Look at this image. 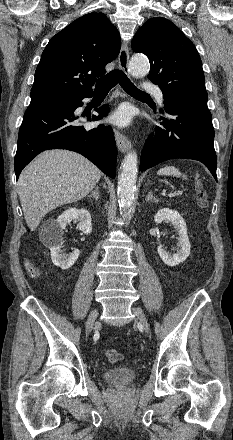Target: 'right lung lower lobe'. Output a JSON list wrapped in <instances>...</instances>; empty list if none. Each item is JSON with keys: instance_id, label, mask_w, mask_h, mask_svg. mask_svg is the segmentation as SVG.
<instances>
[{"instance_id": "right-lung-lower-lobe-1", "label": "right lung lower lobe", "mask_w": 233, "mask_h": 440, "mask_svg": "<svg viewBox=\"0 0 233 440\" xmlns=\"http://www.w3.org/2000/svg\"><path fill=\"white\" fill-rule=\"evenodd\" d=\"M83 95L62 96L31 102L27 108L18 135V147L14 160L18 179L22 169L40 152L49 149H68L78 152L93 162L101 171L115 178L117 149L110 126L99 125L85 129L76 108L83 105ZM99 116L87 117L99 120L108 112V105L96 109Z\"/></svg>"}]
</instances>
